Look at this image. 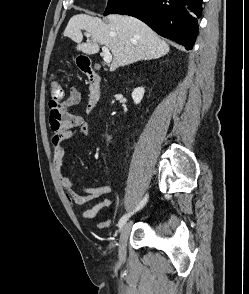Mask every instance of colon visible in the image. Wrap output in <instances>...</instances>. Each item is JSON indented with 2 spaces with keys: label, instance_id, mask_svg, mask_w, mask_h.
<instances>
[{
  "label": "colon",
  "instance_id": "colon-1",
  "mask_svg": "<svg viewBox=\"0 0 249 294\" xmlns=\"http://www.w3.org/2000/svg\"><path fill=\"white\" fill-rule=\"evenodd\" d=\"M64 97V90L56 77L53 78L51 83V101L54 103L61 102Z\"/></svg>",
  "mask_w": 249,
  "mask_h": 294
}]
</instances>
